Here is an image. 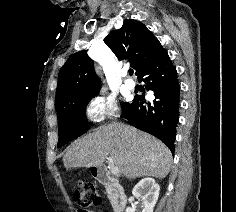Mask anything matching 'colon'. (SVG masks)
<instances>
[{
    "instance_id": "colon-1",
    "label": "colon",
    "mask_w": 236,
    "mask_h": 212,
    "mask_svg": "<svg viewBox=\"0 0 236 212\" xmlns=\"http://www.w3.org/2000/svg\"><path fill=\"white\" fill-rule=\"evenodd\" d=\"M73 199L84 209L98 206L101 203V197L95 185L87 180H80L78 182V186L73 193Z\"/></svg>"
}]
</instances>
